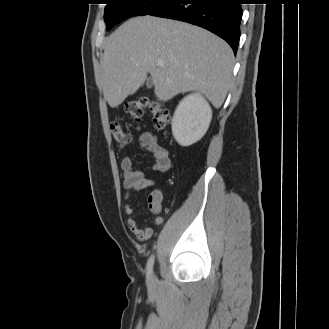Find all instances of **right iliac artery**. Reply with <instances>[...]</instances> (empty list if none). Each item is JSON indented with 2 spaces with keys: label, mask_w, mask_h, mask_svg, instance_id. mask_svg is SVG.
Masks as SVG:
<instances>
[{
  "label": "right iliac artery",
  "mask_w": 329,
  "mask_h": 329,
  "mask_svg": "<svg viewBox=\"0 0 329 329\" xmlns=\"http://www.w3.org/2000/svg\"><path fill=\"white\" fill-rule=\"evenodd\" d=\"M154 256H151L147 262V276L150 277L153 272Z\"/></svg>",
  "instance_id": "right-iliac-artery-1"
}]
</instances>
